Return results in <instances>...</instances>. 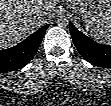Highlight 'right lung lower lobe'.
I'll return each mask as SVG.
<instances>
[{
    "instance_id": "98d812e1",
    "label": "right lung lower lobe",
    "mask_w": 111,
    "mask_h": 106,
    "mask_svg": "<svg viewBox=\"0 0 111 106\" xmlns=\"http://www.w3.org/2000/svg\"><path fill=\"white\" fill-rule=\"evenodd\" d=\"M47 28L48 24L41 27L16 46L0 50V72L17 70L28 64L39 48Z\"/></svg>"
}]
</instances>
